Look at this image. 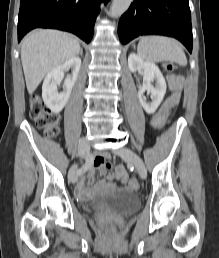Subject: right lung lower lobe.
<instances>
[{"instance_id": "98d812e1", "label": "right lung lower lobe", "mask_w": 219, "mask_h": 258, "mask_svg": "<svg viewBox=\"0 0 219 258\" xmlns=\"http://www.w3.org/2000/svg\"><path fill=\"white\" fill-rule=\"evenodd\" d=\"M109 0H21L18 42L34 28H55L76 34L86 43L92 39L101 2Z\"/></svg>"}]
</instances>
